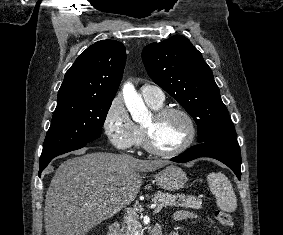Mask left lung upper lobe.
<instances>
[{"mask_svg": "<svg viewBox=\"0 0 283 235\" xmlns=\"http://www.w3.org/2000/svg\"><path fill=\"white\" fill-rule=\"evenodd\" d=\"M142 59L151 79L194 118L199 143L236 137L212 70L186 37L151 43Z\"/></svg>", "mask_w": 283, "mask_h": 235, "instance_id": "left-lung-upper-lobe-1", "label": "left lung upper lobe"}]
</instances>
